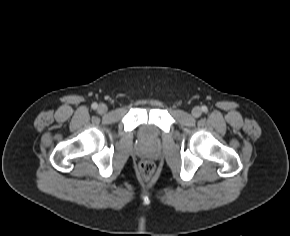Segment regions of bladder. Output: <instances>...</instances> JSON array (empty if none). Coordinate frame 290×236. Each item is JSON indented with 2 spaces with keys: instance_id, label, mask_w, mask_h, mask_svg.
<instances>
[{
  "instance_id": "bladder-1",
  "label": "bladder",
  "mask_w": 290,
  "mask_h": 236,
  "mask_svg": "<svg viewBox=\"0 0 290 236\" xmlns=\"http://www.w3.org/2000/svg\"><path fill=\"white\" fill-rule=\"evenodd\" d=\"M152 131H153V127L150 125H144L142 128L143 136L147 139L150 138Z\"/></svg>"
}]
</instances>
